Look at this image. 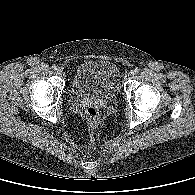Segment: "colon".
<instances>
[{"label": "colon", "mask_w": 195, "mask_h": 195, "mask_svg": "<svg viewBox=\"0 0 195 195\" xmlns=\"http://www.w3.org/2000/svg\"><path fill=\"white\" fill-rule=\"evenodd\" d=\"M86 117L90 127L95 128L98 126L100 121V113L97 107L89 105L86 109Z\"/></svg>", "instance_id": "5ec220e1"}]
</instances>
